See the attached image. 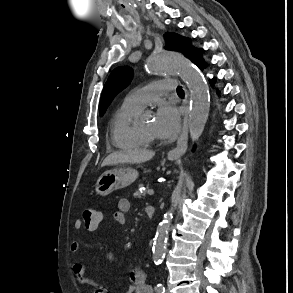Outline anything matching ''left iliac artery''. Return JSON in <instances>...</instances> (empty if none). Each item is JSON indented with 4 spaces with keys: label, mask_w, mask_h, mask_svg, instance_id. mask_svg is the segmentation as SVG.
<instances>
[{
    "label": "left iliac artery",
    "mask_w": 293,
    "mask_h": 293,
    "mask_svg": "<svg viewBox=\"0 0 293 293\" xmlns=\"http://www.w3.org/2000/svg\"><path fill=\"white\" fill-rule=\"evenodd\" d=\"M155 291H156L157 293H165V287L163 286V284L158 283V284H156V286H155Z\"/></svg>",
    "instance_id": "obj_1"
}]
</instances>
